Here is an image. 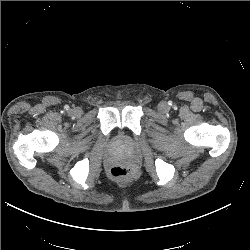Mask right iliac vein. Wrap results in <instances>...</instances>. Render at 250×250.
Listing matches in <instances>:
<instances>
[{
  "mask_svg": "<svg viewBox=\"0 0 250 250\" xmlns=\"http://www.w3.org/2000/svg\"><path fill=\"white\" fill-rule=\"evenodd\" d=\"M82 114V110L80 108H75L70 111V115L72 116H80Z\"/></svg>",
  "mask_w": 250,
  "mask_h": 250,
  "instance_id": "right-iliac-vein-1",
  "label": "right iliac vein"
}]
</instances>
